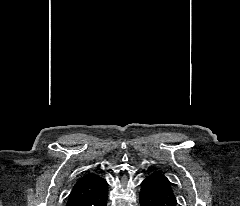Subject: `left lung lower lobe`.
<instances>
[{"mask_svg":"<svg viewBox=\"0 0 240 206\" xmlns=\"http://www.w3.org/2000/svg\"><path fill=\"white\" fill-rule=\"evenodd\" d=\"M141 206H178L172 182L162 172L155 171L141 183Z\"/></svg>","mask_w":240,"mask_h":206,"instance_id":"0a47b994","label":"left lung lower lobe"}]
</instances>
